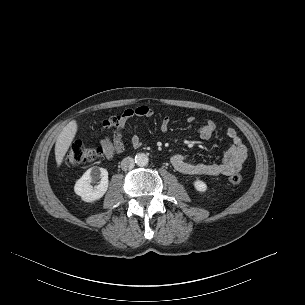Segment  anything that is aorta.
I'll use <instances>...</instances> for the list:
<instances>
[{
    "mask_svg": "<svg viewBox=\"0 0 305 305\" xmlns=\"http://www.w3.org/2000/svg\"><path fill=\"white\" fill-rule=\"evenodd\" d=\"M149 158L145 153H137L135 156V163L138 166H146L148 164Z\"/></svg>",
    "mask_w": 305,
    "mask_h": 305,
    "instance_id": "obj_1",
    "label": "aorta"
}]
</instances>
